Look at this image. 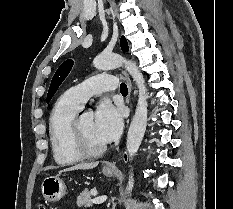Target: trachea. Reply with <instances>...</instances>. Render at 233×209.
I'll return each mask as SVG.
<instances>
[{
	"mask_svg": "<svg viewBox=\"0 0 233 209\" xmlns=\"http://www.w3.org/2000/svg\"><path fill=\"white\" fill-rule=\"evenodd\" d=\"M120 91H121L122 94H127L128 93L127 85L125 83H121Z\"/></svg>",
	"mask_w": 233,
	"mask_h": 209,
	"instance_id": "trachea-1",
	"label": "trachea"
}]
</instances>
